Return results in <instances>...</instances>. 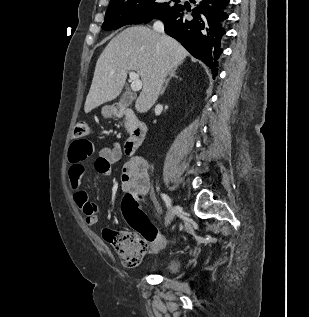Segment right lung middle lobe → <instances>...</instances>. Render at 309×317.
<instances>
[{
	"mask_svg": "<svg viewBox=\"0 0 309 317\" xmlns=\"http://www.w3.org/2000/svg\"><path fill=\"white\" fill-rule=\"evenodd\" d=\"M174 6L170 2L159 0H111L102 29L110 31L127 24H140Z\"/></svg>",
	"mask_w": 309,
	"mask_h": 317,
	"instance_id": "right-lung-middle-lobe-1",
	"label": "right lung middle lobe"
}]
</instances>
